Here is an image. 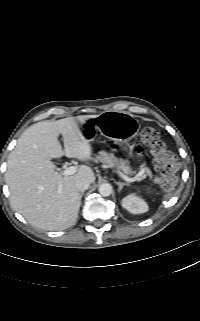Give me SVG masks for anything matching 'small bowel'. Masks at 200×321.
I'll list each match as a JSON object with an SVG mask.
<instances>
[{
	"label": "small bowel",
	"instance_id": "c3829d8e",
	"mask_svg": "<svg viewBox=\"0 0 200 321\" xmlns=\"http://www.w3.org/2000/svg\"><path fill=\"white\" fill-rule=\"evenodd\" d=\"M114 149H115L116 151H121V150L123 149V144H122L121 142H116V143L114 144Z\"/></svg>",
	"mask_w": 200,
	"mask_h": 321
}]
</instances>
